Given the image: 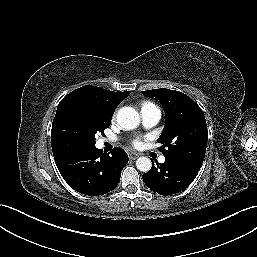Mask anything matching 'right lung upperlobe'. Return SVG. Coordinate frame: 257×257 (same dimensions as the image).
<instances>
[{"label":"right lung upper lobe","instance_id":"obj_1","mask_svg":"<svg viewBox=\"0 0 257 257\" xmlns=\"http://www.w3.org/2000/svg\"><path fill=\"white\" fill-rule=\"evenodd\" d=\"M129 94L130 91L113 92L106 89H102L100 87L89 85L83 86L72 91L71 93L66 95L58 105L57 112L52 123L51 145L52 142L54 143L58 140H61L62 138V135L64 133V126L60 120V113L64 105L69 101L80 100L83 102H87L99 107L105 113L113 115L117 105L120 104ZM72 149L74 148L68 145L52 147L53 154L69 151Z\"/></svg>","mask_w":257,"mask_h":257}]
</instances>
